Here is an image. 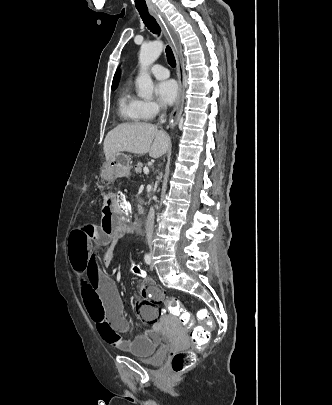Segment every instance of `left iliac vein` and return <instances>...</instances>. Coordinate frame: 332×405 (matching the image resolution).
<instances>
[{"label": "left iliac vein", "instance_id": "left-iliac-vein-1", "mask_svg": "<svg viewBox=\"0 0 332 405\" xmlns=\"http://www.w3.org/2000/svg\"><path fill=\"white\" fill-rule=\"evenodd\" d=\"M150 268H151V269H153V268H154V265H153V263L151 264Z\"/></svg>", "mask_w": 332, "mask_h": 405}]
</instances>
